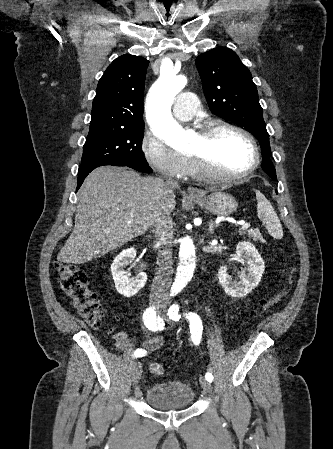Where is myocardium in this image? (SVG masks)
<instances>
[{"mask_svg":"<svg viewBox=\"0 0 333 449\" xmlns=\"http://www.w3.org/2000/svg\"><path fill=\"white\" fill-rule=\"evenodd\" d=\"M220 130H230V131L236 132V133L240 134L241 136H243L250 143V145L252 147L253 154H254L253 163L249 168H247L241 172L234 173V174L221 175V174H217V173L213 172L209 168V166L207 165L206 160L203 156L197 155V154H190L189 157L192 160V162L194 163L198 174L200 176H202L203 178L213 181V182L237 181V180H241V179L249 176L250 174H252L258 168V166L260 164V150H259V146H258L254 136L246 129H244L240 126H237L235 124L224 122V121H212V122L204 123L201 126L200 130L198 131V135L202 136L203 138H207V137L211 136L212 134H214L215 132L220 131Z\"/></svg>","mask_w":333,"mask_h":449,"instance_id":"1","label":"myocardium"}]
</instances>
